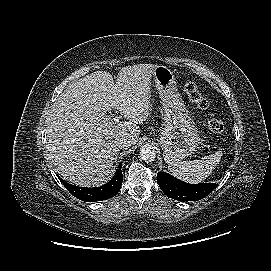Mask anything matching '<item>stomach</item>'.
Listing matches in <instances>:
<instances>
[{
    "label": "stomach",
    "instance_id": "obj_1",
    "mask_svg": "<svg viewBox=\"0 0 271 271\" xmlns=\"http://www.w3.org/2000/svg\"><path fill=\"white\" fill-rule=\"evenodd\" d=\"M153 79L161 99L164 119L159 143L169 164L192 155L200 143V137L178 91L174 72L166 66H157Z\"/></svg>",
    "mask_w": 271,
    "mask_h": 271
}]
</instances>
